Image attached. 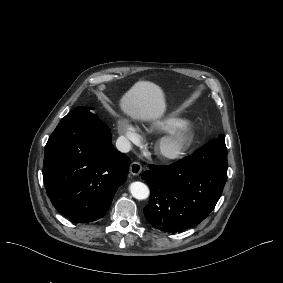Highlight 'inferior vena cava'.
<instances>
[{"instance_id": "inferior-vena-cava-1", "label": "inferior vena cava", "mask_w": 283, "mask_h": 283, "mask_svg": "<svg viewBox=\"0 0 283 283\" xmlns=\"http://www.w3.org/2000/svg\"><path fill=\"white\" fill-rule=\"evenodd\" d=\"M116 147L120 152L127 153L130 151V143L125 137H119L116 140Z\"/></svg>"}]
</instances>
